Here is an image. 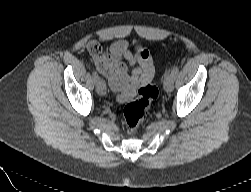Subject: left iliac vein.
<instances>
[{
    "mask_svg": "<svg viewBox=\"0 0 251 192\" xmlns=\"http://www.w3.org/2000/svg\"><path fill=\"white\" fill-rule=\"evenodd\" d=\"M174 77L171 74H168L164 79V89L167 93L172 92L174 88Z\"/></svg>",
    "mask_w": 251,
    "mask_h": 192,
    "instance_id": "4c4485c4",
    "label": "left iliac vein"
}]
</instances>
